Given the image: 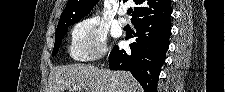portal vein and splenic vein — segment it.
I'll use <instances>...</instances> for the list:
<instances>
[{"instance_id": "portal-vein-and-splenic-vein-1", "label": "portal vein and splenic vein", "mask_w": 225, "mask_h": 92, "mask_svg": "<svg viewBox=\"0 0 225 92\" xmlns=\"http://www.w3.org/2000/svg\"><path fill=\"white\" fill-rule=\"evenodd\" d=\"M77 88H78V86H74V89H77ZM86 91H87V92H90L89 89H86Z\"/></svg>"}]
</instances>
